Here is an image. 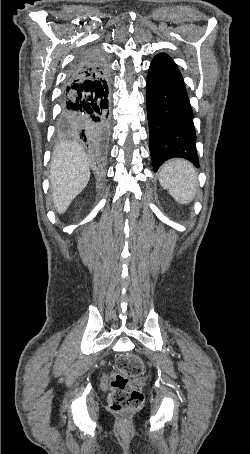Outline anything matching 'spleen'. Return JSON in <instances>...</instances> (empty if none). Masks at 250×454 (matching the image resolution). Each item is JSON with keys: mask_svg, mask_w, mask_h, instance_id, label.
<instances>
[{"mask_svg": "<svg viewBox=\"0 0 250 454\" xmlns=\"http://www.w3.org/2000/svg\"><path fill=\"white\" fill-rule=\"evenodd\" d=\"M159 182L180 204H188L193 200L198 184L193 165L183 159L166 162L160 169Z\"/></svg>", "mask_w": 250, "mask_h": 454, "instance_id": "spleen-1", "label": "spleen"}]
</instances>
